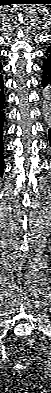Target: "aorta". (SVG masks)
<instances>
[{
	"mask_svg": "<svg viewBox=\"0 0 51 393\" xmlns=\"http://www.w3.org/2000/svg\"><path fill=\"white\" fill-rule=\"evenodd\" d=\"M43 102H42V110L45 115L46 122L50 123V115H51V102H50V91L48 89L43 90Z\"/></svg>",
	"mask_w": 51,
	"mask_h": 393,
	"instance_id": "obj_1",
	"label": "aorta"
}]
</instances>
